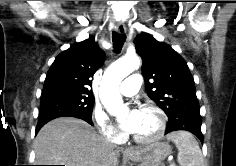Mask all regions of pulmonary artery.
I'll list each match as a JSON object with an SVG mask.
<instances>
[{"instance_id": "1", "label": "pulmonary artery", "mask_w": 236, "mask_h": 166, "mask_svg": "<svg viewBox=\"0 0 236 166\" xmlns=\"http://www.w3.org/2000/svg\"><path fill=\"white\" fill-rule=\"evenodd\" d=\"M142 83L139 73L131 74L120 86V93L123 96H133L137 93Z\"/></svg>"}]
</instances>
